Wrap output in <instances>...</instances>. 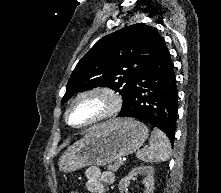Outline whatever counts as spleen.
Here are the masks:
<instances>
[{"label":"spleen","instance_id":"obj_1","mask_svg":"<svg viewBox=\"0 0 221 193\" xmlns=\"http://www.w3.org/2000/svg\"><path fill=\"white\" fill-rule=\"evenodd\" d=\"M171 146L168 137L159 129L154 128L149 140V146L137 152V157L143 162H165L170 158Z\"/></svg>","mask_w":221,"mask_h":193}]
</instances>
